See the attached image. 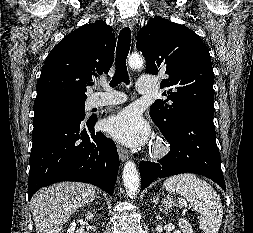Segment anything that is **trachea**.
<instances>
[{
	"instance_id": "3493384b",
	"label": "trachea",
	"mask_w": 253,
	"mask_h": 233,
	"mask_svg": "<svg viewBox=\"0 0 253 233\" xmlns=\"http://www.w3.org/2000/svg\"><path fill=\"white\" fill-rule=\"evenodd\" d=\"M131 43V31L128 27L123 28L118 36L115 59V74L110 82L111 87H116L121 82L130 83L127 72L126 59L129 53Z\"/></svg>"
}]
</instances>
